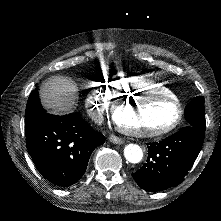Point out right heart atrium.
I'll use <instances>...</instances> for the list:
<instances>
[{"mask_svg":"<svg viewBox=\"0 0 221 221\" xmlns=\"http://www.w3.org/2000/svg\"><path fill=\"white\" fill-rule=\"evenodd\" d=\"M111 81H100L92 86L87 94L86 103L95 112L105 111L113 102Z\"/></svg>","mask_w":221,"mask_h":221,"instance_id":"d8ad5b80","label":"right heart atrium"}]
</instances>
